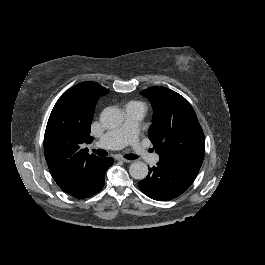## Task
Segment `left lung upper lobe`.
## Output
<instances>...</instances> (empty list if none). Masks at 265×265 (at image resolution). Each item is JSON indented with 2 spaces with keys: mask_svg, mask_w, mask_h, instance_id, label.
Listing matches in <instances>:
<instances>
[{
  "mask_svg": "<svg viewBox=\"0 0 265 265\" xmlns=\"http://www.w3.org/2000/svg\"><path fill=\"white\" fill-rule=\"evenodd\" d=\"M154 108L148 136L160 162L200 168L205 153V139L195 111L180 94L150 87L141 92Z\"/></svg>",
  "mask_w": 265,
  "mask_h": 265,
  "instance_id": "obj_1",
  "label": "left lung upper lobe"
}]
</instances>
